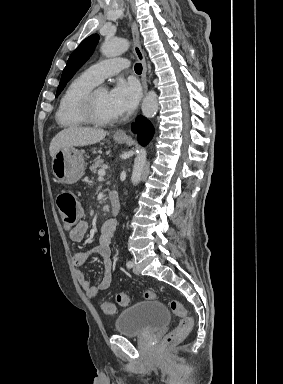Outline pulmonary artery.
Here are the masks:
<instances>
[{
    "mask_svg": "<svg viewBox=\"0 0 283 384\" xmlns=\"http://www.w3.org/2000/svg\"><path fill=\"white\" fill-rule=\"evenodd\" d=\"M126 61H102L85 71L87 77L95 84L101 83L107 76L115 75L120 71H128Z\"/></svg>",
    "mask_w": 283,
    "mask_h": 384,
    "instance_id": "obj_1",
    "label": "pulmonary artery"
}]
</instances>
